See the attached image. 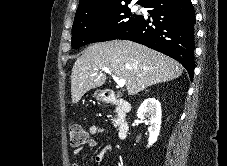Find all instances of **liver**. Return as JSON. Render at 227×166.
<instances>
[{
  "label": "liver",
  "mask_w": 227,
  "mask_h": 166,
  "mask_svg": "<svg viewBox=\"0 0 227 166\" xmlns=\"http://www.w3.org/2000/svg\"><path fill=\"white\" fill-rule=\"evenodd\" d=\"M102 68H108L119 79H124L129 95L176 79L184 70L176 60L132 41L95 43L84 50L72 68V103H78L87 91L105 83Z\"/></svg>",
  "instance_id": "obj_1"
}]
</instances>
